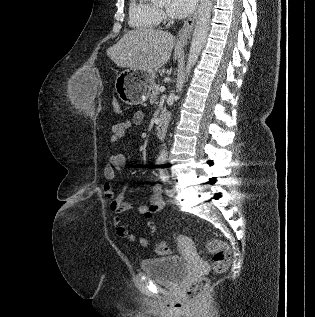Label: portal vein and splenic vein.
<instances>
[{
	"mask_svg": "<svg viewBox=\"0 0 315 317\" xmlns=\"http://www.w3.org/2000/svg\"><path fill=\"white\" fill-rule=\"evenodd\" d=\"M159 91H160V92H164V91H165V88H164V87H161V88L159 89Z\"/></svg>",
	"mask_w": 315,
	"mask_h": 317,
	"instance_id": "1",
	"label": "portal vein and splenic vein"
}]
</instances>
